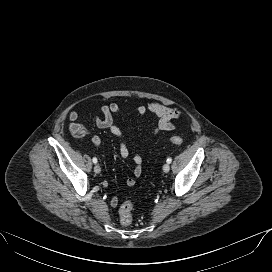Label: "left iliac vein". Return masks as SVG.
Listing matches in <instances>:
<instances>
[{"instance_id": "obj_1", "label": "left iliac vein", "mask_w": 272, "mask_h": 272, "mask_svg": "<svg viewBox=\"0 0 272 272\" xmlns=\"http://www.w3.org/2000/svg\"><path fill=\"white\" fill-rule=\"evenodd\" d=\"M169 170H170V165H169L168 163L164 164V165H163V171H164L165 173H168Z\"/></svg>"}]
</instances>
